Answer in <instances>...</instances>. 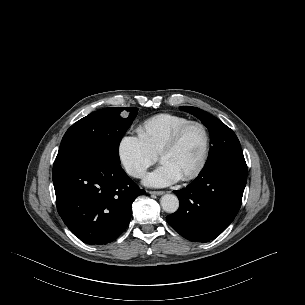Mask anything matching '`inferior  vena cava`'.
Masks as SVG:
<instances>
[{
  "instance_id": "1",
  "label": "inferior vena cava",
  "mask_w": 305,
  "mask_h": 305,
  "mask_svg": "<svg viewBox=\"0 0 305 305\" xmlns=\"http://www.w3.org/2000/svg\"><path fill=\"white\" fill-rule=\"evenodd\" d=\"M128 172L130 175L134 177H142L144 175V170L140 168H132Z\"/></svg>"
}]
</instances>
